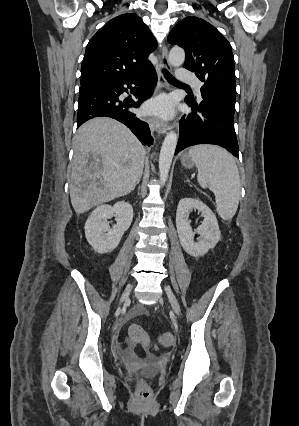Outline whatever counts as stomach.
<instances>
[{
    "mask_svg": "<svg viewBox=\"0 0 299 426\" xmlns=\"http://www.w3.org/2000/svg\"><path fill=\"white\" fill-rule=\"evenodd\" d=\"M181 163L186 168H192L194 166V161L189 154H184L181 157Z\"/></svg>",
    "mask_w": 299,
    "mask_h": 426,
    "instance_id": "stomach-1",
    "label": "stomach"
}]
</instances>
